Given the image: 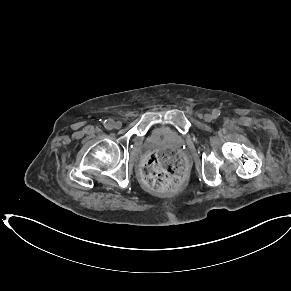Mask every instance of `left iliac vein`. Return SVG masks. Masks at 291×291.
<instances>
[{
    "mask_svg": "<svg viewBox=\"0 0 291 291\" xmlns=\"http://www.w3.org/2000/svg\"><path fill=\"white\" fill-rule=\"evenodd\" d=\"M212 120H213L212 115H210V114L204 115V121L205 122H211Z\"/></svg>",
    "mask_w": 291,
    "mask_h": 291,
    "instance_id": "1",
    "label": "left iliac vein"
}]
</instances>
